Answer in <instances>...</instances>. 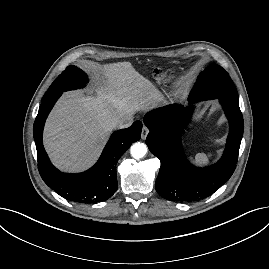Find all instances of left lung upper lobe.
<instances>
[{"mask_svg": "<svg viewBox=\"0 0 269 269\" xmlns=\"http://www.w3.org/2000/svg\"><path fill=\"white\" fill-rule=\"evenodd\" d=\"M191 96L195 100L228 98L239 101L237 90L230 76L217 64H211L200 73Z\"/></svg>", "mask_w": 269, "mask_h": 269, "instance_id": "5c2ea615", "label": "left lung upper lobe"}]
</instances>
